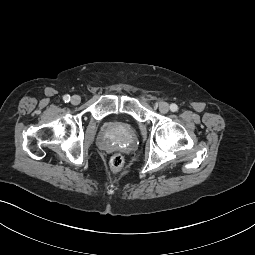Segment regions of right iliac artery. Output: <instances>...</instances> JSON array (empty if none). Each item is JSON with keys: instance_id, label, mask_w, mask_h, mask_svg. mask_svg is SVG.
Instances as JSON below:
<instances>
[{"instance_id": "right-iliac-artery-1", "label": "right iliac artery", "mask_w": 255, "mask_h": 255, "mask_svg": "<svg viewBox=\"0 0 255 255\" xmlns=\"http://www.w3.org/2000/svg\"><path fill=\"white\" fill-rule=\"evenodd\" d=\"M63 100H64L65 102H69V101H70V96H69V95H65V96L63 97Z\"/></svg>"}]
</instances>
